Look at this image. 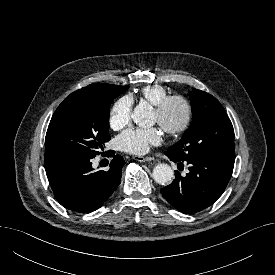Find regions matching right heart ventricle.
Returning a JSON list of instances; mask_svg holds the SVG:
<instances>
[{
	"label": "right heart ventricle",
	"instance_id": "obj_1",
	"mask_svg": "<svg viewBox=\"0 0 275 275\" xmlns=\"http://www.w3.org/2000/svg\"><path fill=\"white\" fill-rule=\"evenodd\" d=\"M139 96L141 99L149 102L150 104L156 106L158 105L164 98L169 96L168 90L158 84L147 85L140 89Z\"/></svg>",
	"mask_w": 275,
	"mask_h": 275
}]
</instances>
